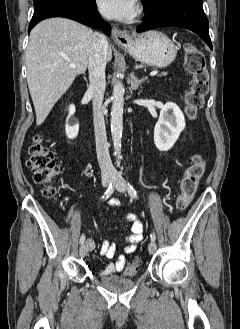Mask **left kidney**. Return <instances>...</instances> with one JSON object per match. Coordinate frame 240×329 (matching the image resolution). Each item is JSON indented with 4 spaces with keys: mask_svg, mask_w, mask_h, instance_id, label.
<instances>
[{
    "mask_svg": "<svg viewBox=\"0 0 240 329\" xmlns=\"http://www.w3.org/2000/svg\"><path fill=\"white\" fill-rule=\"evenodd\" d=\"M185 126V118L180 108L175 103L167 102L162 107L154 128V143L157 149L170 150Z\"/></svg>",
    "mask_w": 240,
    "mask_h": 329,
    "instance_id": "5707ae66",
    "label": "left kidney"
}]
</instances>
